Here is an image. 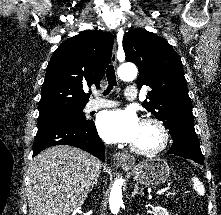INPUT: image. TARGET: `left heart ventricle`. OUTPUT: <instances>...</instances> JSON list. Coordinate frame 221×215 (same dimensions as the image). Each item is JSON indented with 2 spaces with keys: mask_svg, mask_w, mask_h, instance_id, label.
I'll return each instance as SVG.
<instances>
[{
  "mask_svg": "<svg viewBox=\"0 0 221 215\" xmlns=\"http://www.w3.org/2000/svg\"><path fill=\"white\" fill-rule=\"evenodd\" d=\"M158 142L159 133L157 129L152 125L141 124L139 135L133 144L142 148H152L156 146Z\"/></svg>",
  "mask_w": 221,
  "mask_h": 215,
  "instance_id": "1",
  "label": "left heart ventricle"
}]
</instances>
